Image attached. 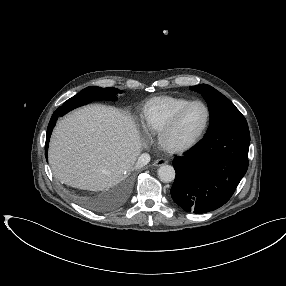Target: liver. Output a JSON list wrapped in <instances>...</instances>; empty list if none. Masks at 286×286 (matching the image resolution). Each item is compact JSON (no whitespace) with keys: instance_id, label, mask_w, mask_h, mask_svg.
Wrapping results in <instances>:
<instances>
[{"instance_id":"6515ba94","label":"liver","mask_w":286,"mask_h":286,"mask_svg":"<svg viewBox=\"0 0 286 286\" xmlns=\"http://www.w3.org/2000/svg\"><path fill=\"white\" fill-rule=\"evenodd\" d=\"M141 149L138 130L129 115L94 104L75 110L57 124L48 157L59 181L101 191L133 169Z\"/></svg>"}]
</instances>
